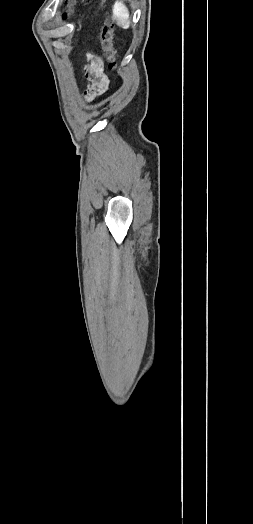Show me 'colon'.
I'll return each mask as SVG.
<instances>
[{"instance_id":"obj_1","label":"colon","mask_w":253,"mask_h":524,"mask_svg":"<svg viewBox=\"0 0 253 524\" xmlns=\"http://www.w3.org/2000/svg\"><path fill=\"white\" fill-rule=\"evenodd\" d=\"M74 0H67V13H69L73 6ZM100 48L104 59L111 67L117 64V51L115 48V31L112 22L106 19L101 25L100 32Z\"/></svg>"}]
</instances>
